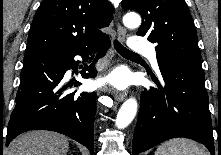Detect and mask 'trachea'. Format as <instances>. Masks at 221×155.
<instances>
[{
  "label": "trachea",
  "instance_id": "obj_1",
  "mask_svg": "<svg viewBox=\"0 0 221 155\" xmlns=\"http://www.w3.org/2000/svg\"><path fill=\"white\" fill-rule=\"evenodd\" d=\"M114 47L119 52V54L124 57H128V58H139L140 57L138 54L128 50L126 47H124L117 40L114 41Z\"/></svg>",
  "mask_w": 221,
  "mask_h": 155
}]
</instances>
